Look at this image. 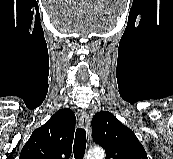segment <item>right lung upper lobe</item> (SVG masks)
<instances>
[{
    "label": "right lung upper lobe",
    "mask_w": 173,
    "mask_h": 159,
    "mask_svg": "<svg viewBox=\"0 0 173 159\" xmlns=\"http://www.w3.org/2000/svg\"><path fill=\"white\" fill-rule=\"evenodd\" d=\"M75 124L72 110H58L43 126L33 131L19 159H68Z\"/></svg>",
    "instance_id": "cb5924a9"
}]
</instances>
